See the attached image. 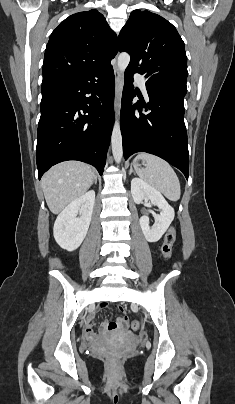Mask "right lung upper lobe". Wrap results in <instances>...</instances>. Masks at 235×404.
Segmentation results:
<instances>
[{"label": "right lung upper lobe", "instance_id": "right-lung-upper-lobe-1", "mask_svg": "<svg viewBox=\"0 0 235 404\" xmlns=\"http://www.w3.org/2000/svg\"><path fill=\"white\" fill-rule=\"evenodd\" d=\"M118 49L117 36L101 13L73 14L50 36L42 84L104 70L111 66Z\"/></svg>", "mask_w": 235, "mask_h": 404}]
</instances>
